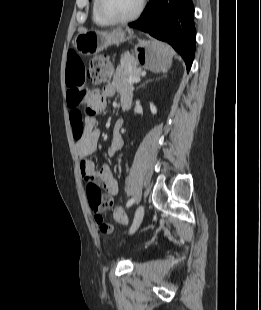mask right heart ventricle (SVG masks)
Instances as JSON below:
<instances>
[{"label": "right heart ventricle", "mask_w": 261, "mask_h": 310, "mask_svg": "<svg viewBox=\"0 0 261 310\" xmlns=\"http://www.w3.org/2000/svg\"><path fill=\"white\" fill-rule=\"evenodd\" d=\"M92 18H93L94 23L98 26L106 27L110 25L108 22L104 21L97 13L96 0H93V3H92Z\"/></svg>", "instance_id": "obj_1"}]
</instances>
